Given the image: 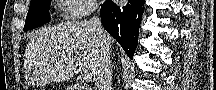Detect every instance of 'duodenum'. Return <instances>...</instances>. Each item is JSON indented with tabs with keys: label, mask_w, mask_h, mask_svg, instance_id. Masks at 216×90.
Masks as SVG:
<instances>
[{
	"label": "duodenum",
	"mask_w": 216,
	"mask_h": 90,
	"mask_svg": "<svg viewBox=\"0 0 216 90\" xmlns=\"http://www.w3.org/2000/svg\"><path fill=\"white\" fill-rule=\"evenodd\" d=\"M70 90H87V87H70Z\"/></svg>",
	"instance_id": "1"
}]
</instances>
